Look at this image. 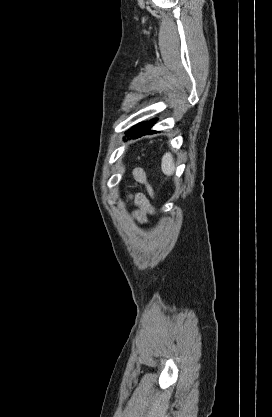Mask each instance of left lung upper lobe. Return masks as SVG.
Instances as JSON below:
<instances>
[{
  "label": "left lung upper lobe",
  "mask_w": 272,
  "mask_h": 417,
  "mask_svg": "<svg viewBox=\"0 0 272 417\" xmlns=\"http://www.w3.org/2000/svg\"><path fill=\"white\" fill-rule=\"evenodd\" d=\"M146 122H142V123H140V124H138V125H136V126H134V127H132L127 133H129V132H132V131H135V130H137V129H139L140 127H142L144 124H145ZM126 133V134H127Z\"/></svg>",
  "instance_id": "5c2ea615"
}]
</instances>
